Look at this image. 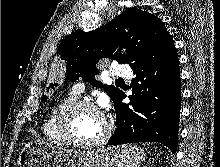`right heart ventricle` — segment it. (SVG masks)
I'll return each mask as SVG.
<instances>
[{
  "mask_svg": "<svg viewBox=\"0 0 220 167\" xmlns=\"http://www.w3.org/2000/svg\"><path fill=\"white\" fill-rule=\"evenodd\" d=\"M76 97L77 95L73 92L69 93L64 98L59 100L56 104H54L51 110L49 111L48 116L42 127L43 135L48 141L60 145L66 144L57 131V119L61 110L67 104L75 100Z\"/></svg>",
  "mask_w": 220,
  "mask_h": 167,
  "instance_id": "obj_1",
  "label": "right heart ventricle"
}]
</instances>
